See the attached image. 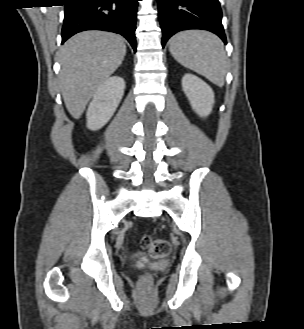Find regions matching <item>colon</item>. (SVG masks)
<instances>
[{
	"instance_id": "1",
	"label": "colon",
	"mask_w": 304,
	"mask_h": 329,
	"mask_svg": "<svg viewBox=\"0 0 304 329\" xmlns=\"http://www.w3.org/2000/svg\"><path fill=\"white\" fill-rule=\"evenodd\" d=\"M141 246L146 249L152 257L164 258L169 255L171 247L169 242L163 238H153L150 235H143L140 240ZM151 275L144 274L141 277V284L147 285L151 282Z\"/></svg>"
}]
</instances>
